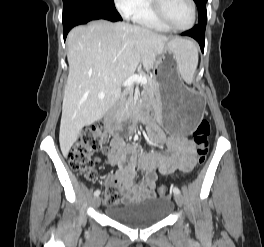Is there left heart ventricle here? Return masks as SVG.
I'll use <instances>...</instances> for the list:
<instances>
[{"label":"left heart ventricle","instance_id":"left-heart-ventricle-1","mask_svg":"<svg viewBox=\"0 0 264 247\" xmlns=\"http://www.w3.org/2000/svg\"><path fill=\"white\" fill-rule=\"evenodd\" d=\"M163 11L173 25L186 26L191 21L192 12L188 0H163Z\"/></svg>","mask_w":264,"mask_h":247}]
</instances>
